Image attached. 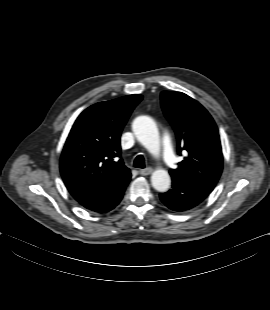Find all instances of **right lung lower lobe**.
Here are the masks:
<instances>
[{"label":"right lung lower lobe","instance_id":"1","mask_svg":"<svg viewBox=\"0 0 270 310\" xmlns=\"http://www.w3.org/2000/svg\"><path fill=\"white\" fill-rule=\"evenodd\" d=\"M130 178L131 173L126 174L102 192L77 201L88 210L98 213L108 212L121 201Z\"/></svg>","mask_w":270,"mask_h":310}]
</instances>
